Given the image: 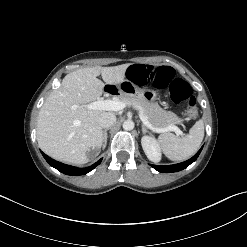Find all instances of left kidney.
Listing matches in <instances>:
<instances>
[{
  "label": "left kidney",
  "instance_id": "obj_1",
  "mask_svg": "<svg viewBox=\"0 0 247 247\" xmlns=\"http://www.w3.org/2000/svg\"><path fill=\"white\" fill-rule=\"evenodd\" d=\"M142 148L147 158L152 162L161 160V150L157 140L153 136H143L141 139Z\"/></svg>",
  "mask_w": 247,
  "mask_h": 247
}]
</instances>
